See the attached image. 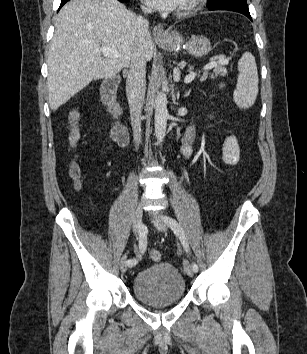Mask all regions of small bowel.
Masks as SVG:
<instances>
[{
  "mask_svg": "<svg viewBox=\"0 0 307 354\" xmlns=\"http://www.w3.org/2000/svg\"><path fill=\"white\" fill-rule=\"evenodd\" d=\"M194 137V130L189 127L185 133L183 145L181 148L182 154L188 158L191 155V142ZM115 140V139H114ZM116 141V140H115ZM239 147L237 140L234 136H228L223 145V159L226 164L233 165L238 161Z\"/></svg>",
  "mask_w": 307,
  "mask_h": 354,
  "instance_id": "small-bowel-1",
  "label": "small bowel"
}]
</instances>
